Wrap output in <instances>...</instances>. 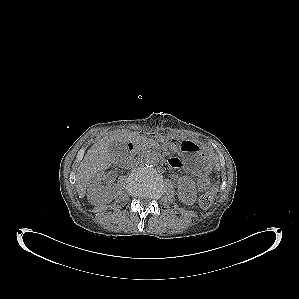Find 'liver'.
<instances>
[{
    "mask_svg": "<svg viewBox=\"0 0 299 299\" xmlns=\"http://www.w3.org/2000/svg\"><path fill=\"white\" fill-rule=\"evenodd\" d=\"M136 136L129 131H112L100 138L87 151L76 173V188L80 198L86 193L88 183L97 173L109 168L118 154L110 153L109 147L113 142L126 143Z\"/></svg>",
    "mask_w": 299,
    "mask_h": 299,
    "instance_id": "liver-1",
    "label": "liver"
}]
</instances>
